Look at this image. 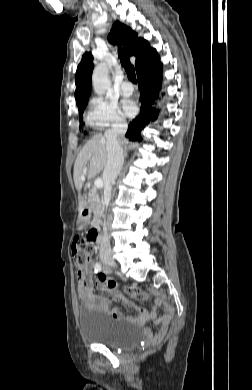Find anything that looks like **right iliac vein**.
I'll list each match as a JSON object with an SVG mask.
<instances>
[{"mask_svg": "<svg viewBox=\"0 0 252 390\" xmlns=\"http://www.w3.org/2000/svg\"><path fill=\"white\" fill-rule=\"evenodd\" d=\"M102 261L110 267H116V263L110 256H102Z\"/></svg>", "mask_w": 252, "mask_h": 390, "instance_id": "63e3f726", "label": "right iliac vein"}]
</instances>
